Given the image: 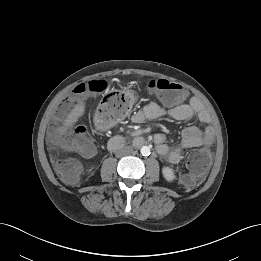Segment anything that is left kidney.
Returning <instances> with one entry per match:
<instances>
[{
  "mask_svg": "<svg viewBox=\"0 0 261 261\" xmlns=\"http://www.w3.org/2000/svg\"><path fill=\"white\" fill-rule=\"evenodd\" d=\"M162 174H163V177L168 181V182H171L175 179V174H174V171L172 168L170 167H163L162 168Z\"/></svg>",
  "mask_w": 261,
  "mask_h": 261,
  "instance_id": "1",
  "label": "left kidney"
}]
</instances>
